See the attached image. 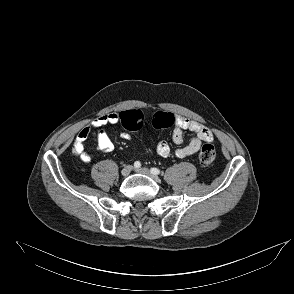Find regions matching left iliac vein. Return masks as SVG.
<instances>
[{"label":"left iliac vein","mask_w":294,"mask_h":294,"mask_svg":"<svg viewBox=\"0 0 294 294\" xmlns=\"http://www.w3.org/2000/svg\"><path fill=\"white\" fill-rule=\"evenodd\" d=\"M135 171L138 172V173H141V174H144V175L150 177L151 179H153L156 182H159L160 181V178L157 175L153 174L147 168H137V169H135Z\"/></svg>","instance_id":"obj_1"}]
</instances>
